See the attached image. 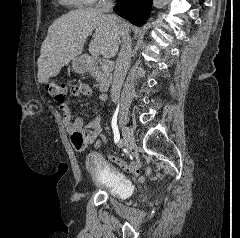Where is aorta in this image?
I'll return each instance as SVG.
<instances>
[{
    "label": "aorta",
    "instance_id": "762f6f07",
    "mask_svg": "<svg viewBox=\"0 0 240 238\" xmlns=\"http://www.w3.org/2000/svg\"><path fill=\"white\" fill-rule=\"evenodd\" d=\"M165 2H166V0H154L153 1V6H155V7H162Z\"/></svg>",
    "mask_w": 240,
    "mask_h": 238
}]
</instances>
